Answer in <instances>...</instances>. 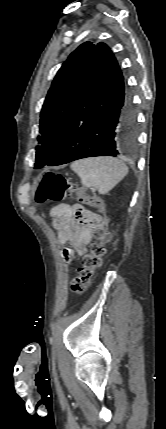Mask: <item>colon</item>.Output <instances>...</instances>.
<instances>
[{"label":"colon","mask_w":166,"mask_h":429,"mask_svg":"<svg viewBox=\"0 0 166 429\" xmlns=\"http://www.w3.org/2000/svg\"><path fill=\"white\" fill-rule=\"evenodd\" d=\"M66 196L77 197L80 201L95 205L101 212L104 223V227L96 232V240L91 244L90 252L84 257L70 284L73 293L83 294L90 286L96 270L101 265L102 257L106 253L105 246L110 240V233L107 229L109 220L105 204L98 197L95 195L82 196L78 189L61 174L46 173L36 191L35 199L38 203L59 202Z\"/></svg>","instance_id":"5ec220e1"}]
</instances>
